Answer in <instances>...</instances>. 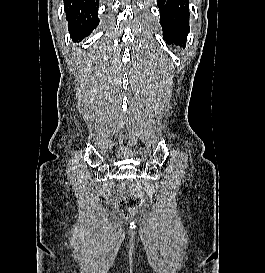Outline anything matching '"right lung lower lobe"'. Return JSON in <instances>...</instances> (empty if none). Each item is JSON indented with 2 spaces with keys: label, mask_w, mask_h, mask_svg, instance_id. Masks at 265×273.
<instances>
[{
  "label": "right lung lower lobe",
  "mask_w": 265,
  "mask_h": 273,
  "mask_svg": "<svg viewBox=\"0 0 265 273\" xmlns=\"http://www.w3.org/2000/svg\"><path fill=\"white\" fill-rule=\"evenodd\" d=\"M99 0H64L68 30L74 42L90 35L98 25Z\"/></svg>",
  "instance_id": "1"
}]
</instances>
